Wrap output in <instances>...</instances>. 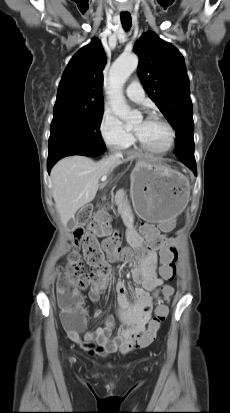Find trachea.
Here are the masks:
<instances>
[{
    "mask_svg": "<svg viewBox=\"0 0 230 413\" xmlns=\"http://www.w3.org/2000/svg\"><path fill=\"white\" fill-rule=\"evenodd\" d=\"M121 23L125 31H128L132 26V19L129 13H121L120 14Z\"/></svg>",
    "mask_w": 230,
    "mask_h": 413,
    "instance_id": "obj_1",
    "label": "trachea"
}]
</instances>
